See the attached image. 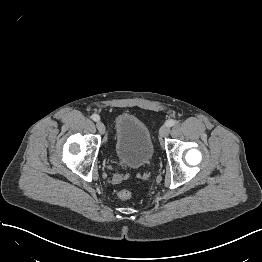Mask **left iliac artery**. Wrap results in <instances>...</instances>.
I'll list each match as a JSON object with an SVG mask.
<instances>
[{"instance_id":"obj_1","label":"left iliac artery","mask_w":262,"mask_h":262,"mask_svg":"<svg viewBox=\"0 0 262 262\" xmlns=\"http://www.w3.org/2000/svg\"><path fill=\"white\" fill-rule=\"evenodd\" d=\"M176 123H177L176 120L171 119V120H168L165 124L171 127V126H174Z\"/></svg>"}]
</instances>
